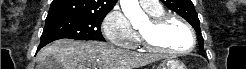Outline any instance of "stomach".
Here are the masks:
<instances>
[{"label": "stomach", "mask_w": 246, "mask_h": 69, "mask_svg": "<svg viewBox=\"0 0 246 69\" xmlns=\"http://www.w3.org/2000/svg\"><path fill=\"white\" fill-rule=\"evenodd\" d=\"M157 69H185L184 65L175 59H167L161 62Z\"/></svg>", "instance_id": "1"}]
</instances>
